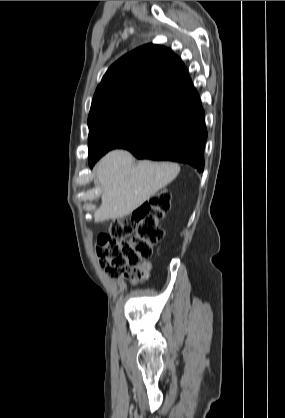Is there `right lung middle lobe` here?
Segmentation results:
<instances>
[{
  "label": "right lung middle lobe",
  "instance_id": "1",
  "mask_svg": "<svg viewBox=\"0 0 285 418\" xmlns=\"http://www.w3.org/2000/svg\"><path fill=\"white\" fill-rule=\"evenodd\" d=\"M171 109L144 101H124L90 113L88 159L121 148L159 122Z\"/></svg>",
  "mask_w": 285,
  "mask_h": 418
}]
</instances>
